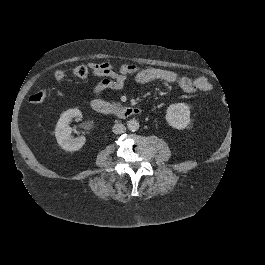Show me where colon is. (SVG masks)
I'll return each mask as SVG.
<instances>
[{
    "instance_id": "5ec220e1",
    "label": "colon",
    "mask_w": 265,
    "mask_h": 265,
    "mask_svg": "<svg viewBox=\"0 0 265 265\" xmlns=\"http://www.w3.org/2000/svg\"><path fill=\"white\" fill-rule=\"evenodd\" d=\"M88 73H89V67L87 65H80L74 68V74L77 77H81V78L86 77ZM65 75H66L65 72L61 69L56 70L54 73V77L56 80L64 79ZM47 95H48L47 90L41 89V90H38L32 93L29 96V101L35 104L41 103L47 98Z\"/></svg>"
}]
</instances>
